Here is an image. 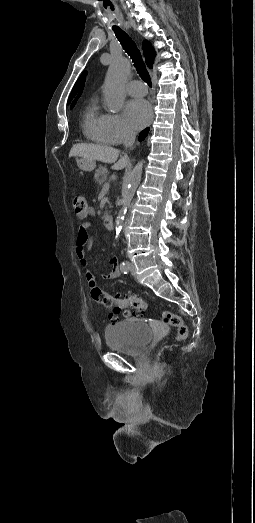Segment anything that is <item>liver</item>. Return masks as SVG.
Instances as JSON below:
<instances>
[{"label": "liver", "instance_id": "obj_1", "mask_svg": "<svg viewBox=\"0 0 255 523\" xmlns=\"http://www.w3.org/2000/svg\"><path fill=\"white\" fill-rule=\"evenodd\" d=\"M69 156L70 158L80 156L85 160H98V162H105V164H114L112 170H123L129 164L127 158L118 160L119 150L108 148V146H96V144H75L71 148Z\"/></svg>", "mask_w": 255, "mask_h": 523}]
</instances>
